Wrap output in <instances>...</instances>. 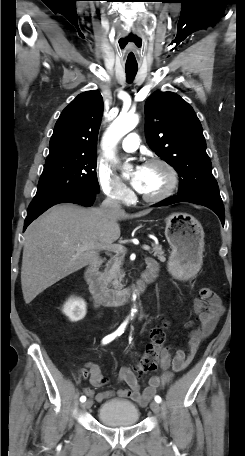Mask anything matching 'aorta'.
Listing matches in <instances>:
<instances>
[{"label":"aorta","mask_w":245,"mask_h":456,"mask_svg":"<svg viewBox=\"0 0 245 456\" xmlns=\"http://www.w3.org/2000/svg\"><path fill=\"white\" fill-rule=\"evenodd\" d=\"M138 121L139 117L135 114H122L113 121L103 137V149L106 158L117 162L114 148L124 135L136 127ZM134 312H136L135 309L132 310V315Z\"/></svg>","instance_id":"aorta-1"}]
</instances>
